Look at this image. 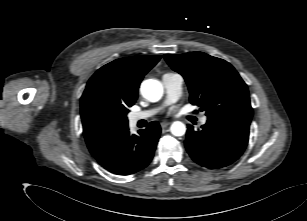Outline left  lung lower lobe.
<instances>
[{"label":"left lung lower lobe","instance_id":"obj_1","mask_svg":"<svg viewBox=\"0 0 307 221\" xmlns=\"http://www.w3.org/2000/svg\"><path fill=\"white\" fill-rule=\"evenodd\" d=\"M250 122L234 118L207 119L200 130L188 125L185 147L203 167L218 169L235 162L249 139Z\"/></svg>","mask_w":307,"mask_h":221}]
</instances>
